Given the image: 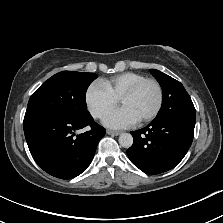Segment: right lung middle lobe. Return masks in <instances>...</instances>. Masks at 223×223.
<instances>
[{"label":"right lung middle lobe","mask_w":223,"mask_h":223,"mask_svg":"<svg viewBox=\"0 0 223 223\" xmlns=\"http://www.w3.org/2000/svg\"><path fill=\"white\" fill-rule=\"evenodd\" d=\"M94 73L62 71L45 81L30 97L24 122L45 117L87 119L86 91Z\"/></svg>","instance_id":"dd1d6c3e"}]
</instances>
